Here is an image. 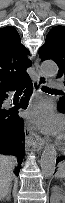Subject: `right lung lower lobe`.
<instances>
[{"label":"right lung lower lobe","instance_id":"obj_1","mask_svg":"<svg viewBox=\"0 0 65 203\" xmlns=\"http://www.w3.org/2000/svg\"><path fill=\"white\" fill-rule=\"evenodd\" d=\"M19 88H26L27 96L30 95L33 90L30 78L17 86L0 90V154L14 155L18 158L19 164H21L25 154V145L21 142L25 141V134L23 129L24 122L18 116V109L27 108V99L21 100L13 108H1L3 100L8 97L6 92ZM15 174H19V167L16 168Z\"/></svg>","mask_w":65,"mask_h":203}]
</instances>
